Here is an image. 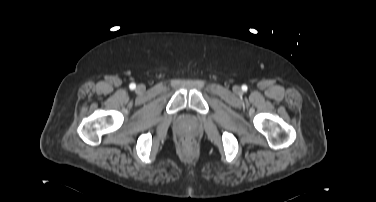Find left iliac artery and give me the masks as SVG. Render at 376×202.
I'll list each match as a JSON object with an SVG mask.
<instances>
[{"mask_svg": "<svg viewBox=\"0 0 376 202\" xmlns=\"http://www.w3.org/2000/svg\"><path fill=\"white\" fill-rule=\"evenodd\" d=\"M242 89L244 90V91H246L247 90V86H242Z\"/></svg>", "mask_w": 376, "mask_h": 202, "instance_id": "44dca946", "label": "left iliac artery"}]
</instances>
